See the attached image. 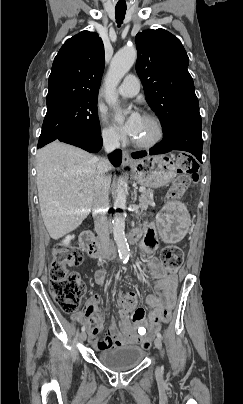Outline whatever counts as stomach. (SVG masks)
Returning a JSON list of instances; mask_svg holds the SVG:
<instances>
[{
	"instance_id": "stomach-1",
	"label": "stomach",
	"mask_w": 243,
	"mask_h": 404,
	"mask_svg": "<svg viewBox=\"0 0 243 404\" xmlns=\"http://www.w3.org/2000/svg\"><path fill=\"white\" fill-rule=\"evenodd\" d=\"M134 179L142 186L157 188L170 183L177 175L174 160L167 155L147 156L130 164ZM157 224L168 243L180 241L190 225V216L180 202L167 203L157 215Z\"/></svg>"
}]
</instances>
